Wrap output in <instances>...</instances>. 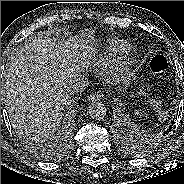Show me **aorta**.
Instances as JSON below:
<instances>
[{"mask_svg": "<svg viewBox=\"0 0 184 184\" xmlns=\"http://www.w3.org/2000/svg\"><path fill=\"white\" fill-rule=\"evenodd\" d=\"M89 115L94 120H102L107 115L106 106L99 101H94L89 105Z\"/></svg>", "mask_w": 184, "mask_h": 184, "instance_id": "762f6f07", "label": "aorta"}]
</instances>
